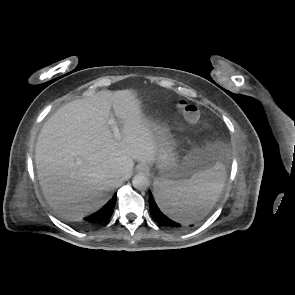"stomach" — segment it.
Here are the masks:
<instances>
[{"instance_id": "stomach-1", "label": "stomach", "mask_w": 295, "mask_h": 295, "mask_svg": "<svg viewBox=\"0 0 295 295\" xmlns=\"http://www.w3.org/2000/svg\"><path fill=\"white\" fill-rule=\"evenodd\" d=\"M151 130L156 138V153L154 163L160 176L164 179H176L186 176L184 169L191 165L199 157V153L193 151L184 160L180 159L178 142L173 137L168 125L160 120H149ZM212 167L208 161L199 165L194 172H200Z\"/></svg>"}]
</instances>
